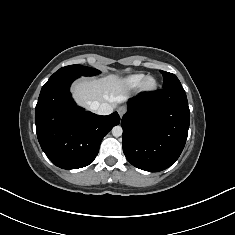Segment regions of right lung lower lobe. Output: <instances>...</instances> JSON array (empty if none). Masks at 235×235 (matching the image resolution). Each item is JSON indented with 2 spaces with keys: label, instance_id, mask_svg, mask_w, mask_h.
<instances>
[{
  "label": "right lung lower lobe",
  "instance_id": "obj_1",
  "mask_svg": "<svg viewBox=\"0 0 235 235\" xmlns=\"http://www.w3.org/2000/svg\"><path fill=\"white\" fill-rule=\"evenodd\" d=\"M77 76L50 78L35 108L38 141L47 157L63 169L91 164L103 137L120 122L117 112L100 116L78 107L70 94Z\"/></svg>",
  "mask_w": 235,
  "mask_h": 235
}]
</instances>
